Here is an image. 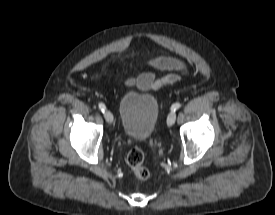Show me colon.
Wrapping results in <instances>:
<instances>
[{
  "mask_svg": "<svg viewBox=\"0 0 275 215\" xmlns=\"http://www.w3.org/2000/svg\"><path fill=\"white\" fill-rule=\"evenodd\" d=\"M127 164L134 176L139 180H146L150 176L148 168L144 165V153L139 146H133L127 154Z\"/></svg>",
  "mask_w": 275,
  "mask_h": 215,
  "instance_id": "1",
  "label": "colon"
}]
</instances>
